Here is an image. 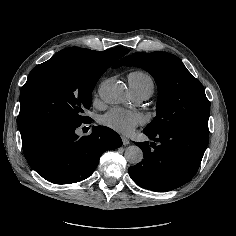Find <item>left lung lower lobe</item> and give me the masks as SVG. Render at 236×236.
Returning a JSON list of instances; mask_svg holds the SVG:
<instances>
[{
  "mask_svg": "<svg viewBox=\"0 0 236 236\" xmlns=\"http://www.w3.org/2000/svg\"><path fill=\"white\" fill-rule=\"evenodd\" d=\"M143 132L152 142L135 143L142 149L144 158L128 168L130 177L137 185L166 192L194 177L208 145L207 133L178 129Z\"/></svg>",
  "mask_w": 236,
  "mask_h": 236,
  "instance_id": "0a47b994",
  "label": "left lung lower lobe"
}]
</instances>
